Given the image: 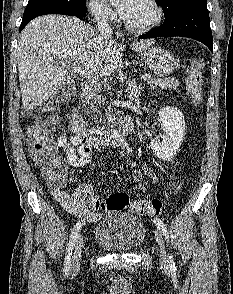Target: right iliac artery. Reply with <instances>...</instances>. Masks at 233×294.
Instances as JSON below:
<instances>
[{
	"label": "right iliac artery",
	"instance_id": "right-iliac-artery-1",
	"mask_svg": "<svg viewBox=\"0 0 233 294\" xmlns=\"http://www.w3.org/2000/svg\"><path fill=\"white\" fill-rule=\"evenodd\" d=\"M85 221L84 220H79L76 225L74 226L71 235H70V241L68 244V250H67V254L65 257V262H64V272L65 274H68L71 268V255H72V250H73V246L75 244V241L78 237V233L81 229V227L84 225Z\"/></svg>",
	"mask_w": 233,
	"mask_h": 294
}]
</instances>
